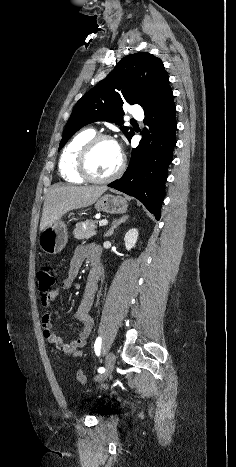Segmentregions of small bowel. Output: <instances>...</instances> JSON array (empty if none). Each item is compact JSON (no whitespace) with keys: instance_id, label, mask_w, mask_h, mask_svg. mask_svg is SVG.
Returning a JSON list of instances; mask_svg holds the SVG:
<instances>
[{"instance_id":"1","label":"small bowel","mask_w":236,"mask_h":467,"mask_svg":"<svg viewBox=\"0 0 236 467\" xmlns=\"http://www.w3.org/2000/svg\"><path fill=\"white\" fill-rule=\"evenodd\" d=\"M99 259L100 251L98 248L91 245H81L74 251L71 259L69 268L61 280L59 286L53 289L48 295H45L41 299V304L44 308L48 309L51 303L60 295L61 291L68 290L72 287V284L80 272L83 263L89 260L91 266H96L98 270V277L95 281L87 278L82 298L75 312V318L81 323V331L79 336L69 343H66L59 337L52 328V314L46 312L41 319L43 328V336L46 341L55 347V349L67 356L79 357L82 353V349L86 346L87 340L93 330V319L90 315V310L94 301V297L97 291V282L99 279Z\"/></svg>"}]
</instances>
